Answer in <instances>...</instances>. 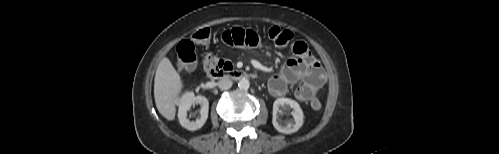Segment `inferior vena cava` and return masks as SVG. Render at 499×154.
I'll return each instance as SVG.
<instances>
[{
	"label": "inferior vena cava",
	"mask_w": 499,
	"mask_h": 154,
	"mask_svg": "<svg viewBox=\"0 0 499 154\" xmlns=\"http://www.w3.org/2000/svg\"><path fill=\"white\" fill-rule=\"evenodd\" d=\"M217 85L220 89L227 90V89L231 88L232 81L228 78H223V79L218 81Z\"/></svg>",
	"instance_id": "602c4592"
}]
</instances>
